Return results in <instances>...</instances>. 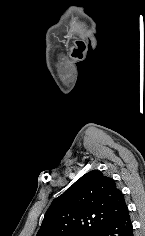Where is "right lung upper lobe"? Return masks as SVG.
Instances as JSON below:
<instances>
[{
  "label": "right lung upper lobe",
  "instance_id": "right-lung-upper-lobe-1",
  "mask_svg": "<svg viewBox=\"0 0 145 236\" xmlns=\"http://www.w3.org/2000/svg\"><path fill=\"white\" fill-rule=\"evenodd\" d=\"M126 208L115 181L93 170L51 204L36 236H94Z\"/></svg>",
  "mask_w": 145,
  "mask_h": 236
}]
</instances>
